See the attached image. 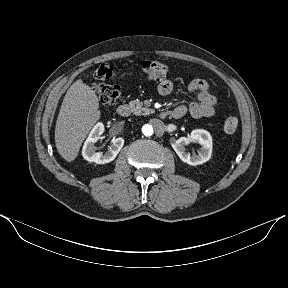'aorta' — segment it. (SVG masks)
Segmentation results:
<instances>
[{"label":"aorta","instance_id":"obj_1","mask_svg":"<svg viewBox=\"0 0 288 288\" xmlns=\"http://www.w3.org/2000/svg\"><path fill=\"white\" fill-rule=\"evenodd\" d=\"M142 132L145 136H151L154 132L153 127L149 124L144 125L142 128Z\"/></svg>","mask_w":288,"mask_h":288}]
</instances>
